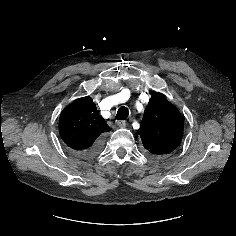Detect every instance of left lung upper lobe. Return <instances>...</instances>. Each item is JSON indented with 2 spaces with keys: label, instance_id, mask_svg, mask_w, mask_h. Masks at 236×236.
I'll return each instance as SVG.
<instances>
[{
  "label": "left lung upper lobe",
  "instance_id": "obj_1",
  "mask_svg": "<svg viewBox=\"0 0 236 236\" xmlns=\"http://www.w3.org/2000/svg\"><path fill=\"white\" fill-rule=\"evenodd\" d=\"M184 121L161 93H155L144 111L139 134L146 152L153 158H165L183 138Z\"/></svg>",
  "mask_w": 236,
  "mask_h": 236
}]
</instances>
